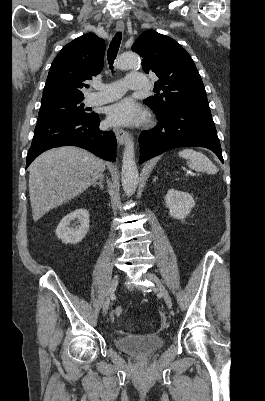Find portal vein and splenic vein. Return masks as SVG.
<instances>
[{
  "mask_svg": "<svg viewBox=\"0 0 265 401\" xmlns=\"http://www.w3.org/2000/svg\"><path fill=\"white\" fill-rule=\"evenodd\" d=\"M187 174H193V175H196V172H191V170H187Z\"/></svg>",
  "mask_w": 265,
  "mask_h": 401,
  "instance_id": "obj_1",
  "label": "portal vein and splenic vein"
}]
</instances>
